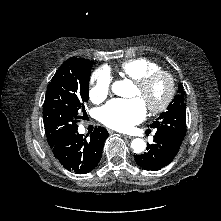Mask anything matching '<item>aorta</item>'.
<instances>
[{"label": "aorta", "instance_id": "aorta-1", "mask_svg": "<svg viewBox=\"0 0 221 221\" xmlns=\"http://www.w3.org/2000/svg\"><path fill=\"white\" fill-rule=\"evenodd\" d=\"M126 88L127 84L125 81H116L112 85L113 93L118 96H124ZM131 148L134 150L135 153H141L145 150L146 143L141 138H135L131 142Z\"/></svg>", "mask_w": 221, "mask_h": 221}]
</instances>
